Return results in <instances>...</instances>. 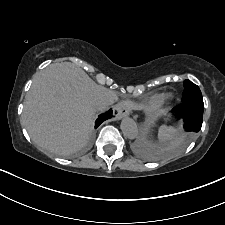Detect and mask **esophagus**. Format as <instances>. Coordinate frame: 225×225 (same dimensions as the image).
<instances>
[{
	"mask_svg": "<svg viewBox=\"0 0 225 225\" xmlns=\"http://www.w3.org/2000/svg\"><path fill=\"white\" fill-rule=\"evenodd\" d=\"M114 111L116 112V119H118V120L125 116H128L130 113L129 108L124 103H118L115 106Z\"/></svg>",
	"mask_w": 225,
	"mask_h": 225,
	"instance_id": "esophagus-1",
	"label": "esophagus"
}]
</instances>
